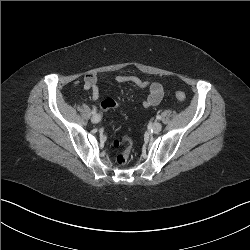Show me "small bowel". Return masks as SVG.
<instances>
[{
	"label": "small bowel",
	"instance_id": "c3829d8e",
	"mask_svg": "<svg viewBox=\"0 0 250 250\" xmlns=\"http://www.w3.org/2000/svg\"><path fill=\"white\" fill-rule=\"evenodd\" d=\"M115 81L118 83H132L139 88L147 89L148 93L143 100V106L146 108L158 105L164 95L163 86L159 82L144 81L133 75H117L115 77ZM83 89L85 91L92 92L93 100H98L101 98L98 79L95 75L88 74L84 77Z\"/></svg>",
	"mask_w": 250,
	"mask_h": 250
}]
</instances>
